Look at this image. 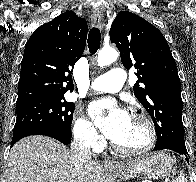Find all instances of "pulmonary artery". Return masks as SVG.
I'll return each mask as SVG.
<instances>
[{
	"mask_svg": "<svg viewBox=\"0 0 196 182\" xmlns=\"http://www.w3.org/2000/svg\"><path fill=\"white\" fill-rule=\"evenodd\" d=\"M125 78V73L120 68H112L106 74L95 79L91 88L98 92L115 93L122 89Z\"/></svg>",
	"mask_w": 196,
	"mask_h": 182,
	"instance_id": "1",
	"label": "pulmonary artery"
}]
</instances>
